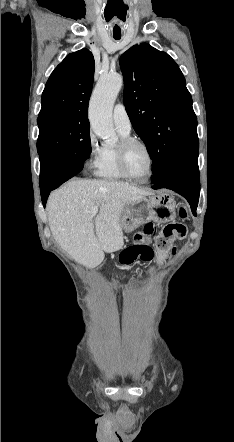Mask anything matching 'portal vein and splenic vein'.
I'll use <instances>...</instances> for the list:
<instances>
[{
	"instance_id": "portal-vein-and-splenic-vein-1",
	"label": "portal vein and splenic vein",
	"mask_w": 234,
	"mask_h": 442,
	"mask_svg": "<svg viewBox=\"0 0 234 442\" xmlns=\"http://www.w3.org/2000/svg\"><path fill=\"white\" fill-rule=\"evenodd\" d=\"M98 212V206H94L91 210V214L96 215Z\"/></svg>"
}]
</instances>
